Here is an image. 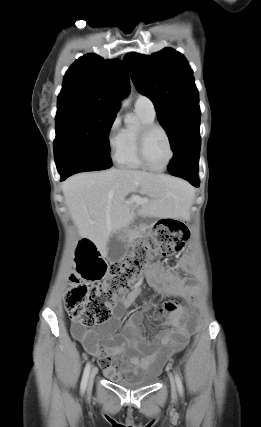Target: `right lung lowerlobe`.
Wrapping results in <instances>:
<instances>
[{
    "label": "right lung lower lobe",
    "instance_id": "98d812e1",
    "mask_svg": "<svg viewBox=\"0 0 261 427\" xmlns=\"http://www.w3.org/2000/svg\"><path fill=\"white\" fill-rule=\"evenodd\" d=\"M107 168H110V167H91V166H86V165L70 164V165H66V166H63L61 168H58V172L61 175V179L65 180L69 176H71L75 173H78V172L98 171V170H104Z\"/></svg>",
    "mask_w": 261,
    "mask_h": 427
}]
</instances>
